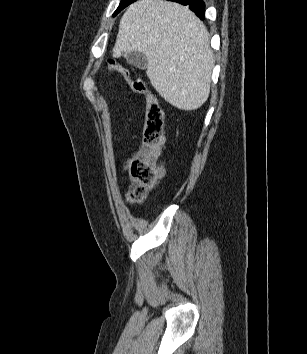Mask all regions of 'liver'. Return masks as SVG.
<instances>
[{
    "label": "liver",
    "mask_w": 307,
    "mask_h": 354,
    "mask_svg": "<svg viewBox=\"0 0 307 354\" xmlns=\"http://www.w3.org/2000/svg\"><path fill=\"white\" fill-rule=\"evenodd\" d=\"M143 53L146 74L165 101L185 111L208 99L214 67L203 22L188 8L164 0H138L120 20L113 57Z\"/></svg>",
    "instance_id": "liver-1"
}]
</instances>
